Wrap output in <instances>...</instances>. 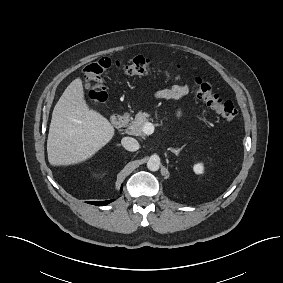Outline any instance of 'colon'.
<instances>
[{
  "mask_svg": "<svg viewBox=\"0 0 283 283\" xmlns=\"http://www.w3.org/2000/svg\"><path fill=\"white\" fill-rule=\"evenodd\" d=\"M116 68L127 75L142 76L153 69L151 59L138 56L128 62L111 60L110 58H100L84 69V78L89 85L88 100L93 105H101L107 100V91L103 82V74L109 68ZM174 67L176 70V66ZM194 92L203 100L212 110L227 121H233L237 117V109L230 101L224 100L212 88L200 78L192 81Z\"/></svg>",
  "mask_w": 283,
  "mask_h": 283,
  "instance_id": "colon-1",
  "label": "colon"
}]
</instances>
